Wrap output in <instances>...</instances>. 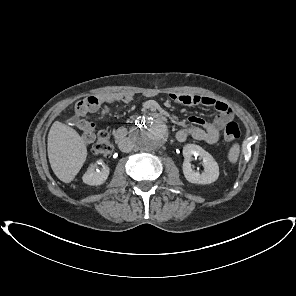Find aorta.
<instances>
[{
	"label": "aorta",
	"mask_w": 296,
	"mask_h": 296,
	"mask_svg": "<svg viewBox=\"0 0 296 296\" xmlns=\"http://www.w3.org/2000/svg\"><path fill=\"white\" fill-rule=\"evenodd\" d=\"M169 136L167 125L149 116L137 119L130 137L139 150L151 151L162 147Z\"/></svg>",
	"instance_id": "762f6f07"
}]
</instances>
